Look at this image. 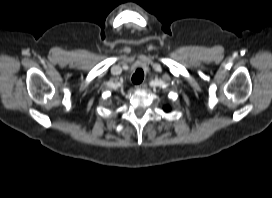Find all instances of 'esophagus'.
<instances>
[{"label":"esophagus","mask_w":272,"mask_h":198,"mask_svg":"<svg viewBox=\"0 0 272 198\" xmlns=\"http://www.w3.org/2000/svg\"><path fill=\"white\" fill-rule=\"evenodd\" d=\"M145 88H146V84L145 83H142V84H139V85L136 86L137 90H143Z\"/></svg>","instance_id":"esophagus-1"}]
</instances>
